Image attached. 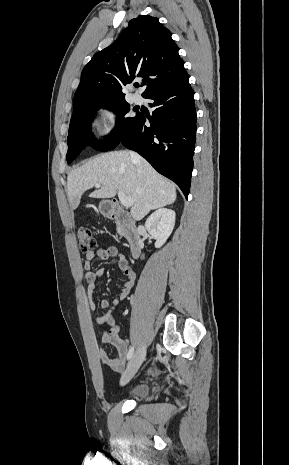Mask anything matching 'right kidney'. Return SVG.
<instances>
[{"instance_id": "obj_1", "label": "right kidney", "mask_w": 289, "mask_h": 465, "mask_svg": "<svg viewBox=\"0 0 289 465\" xmlns=\"http://www.w3.org/2000/svg\"><path fill=\"white\" fill-rule=\"evenodd\" d=\"M175 216L173 210L161 208L152 213L146 220L145 227L156 240V248H160L171 235L175 225Z\"/></svg>"}]
</instances>
